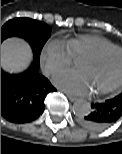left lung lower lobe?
<instances>
[{"instance_id":"obj_1","label":"left lung lower lobe","mask_w":122,"mask_h":154,"mask_svg":"<svg viewBox=\"0 0 122 154\" xmlns=\"http://www.w3.org/2000/svg\"><path fill=\"white\" fill-rule=\"evenodd\" d=\"M91 108L88 115L80 117V124L89 130H104L122 117V93L105 102L92 104Z\"/></svg>"}]
</instances>
